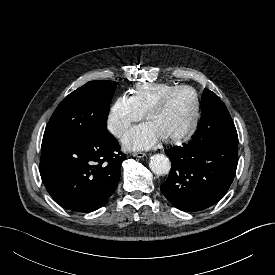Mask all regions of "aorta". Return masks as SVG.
<instances>
[{
    "mask_svg": "<svg viewBox=\"0 0 275 275\" xmlns=\"http://www.w3.org/2000/svg\"><path fill=\"white\" fill-rule=\"evenodd\" d=\"M149 167L156 175L168 174L171 168L170 160L163 154H155L150 157Z\"/></svg>",
    "mask_w": 275,
    "mask_h": 275,
    "instance_id": "obj_1",
    "label": "aorta"
}]
</instances>
